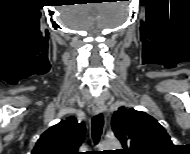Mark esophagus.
Segmentation results:
<instances>
[{"label": "esophagus", "mask_w": 190, "mask_h": 154, "mask_svg": "<svg viewBox=\"0 0 190 154\" xmlns=\"http://www.w3.org/2000/svg\"><path fill=\"white\" fill-rule=\"evenodd\" d=\"M104 109H105L104 100L101 97H99L98 99L95 100L93 104V113L99 114L102 111H104Z\"/></svg>", "instance_id": "1"}]
</instances>
